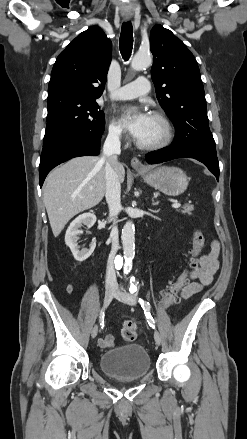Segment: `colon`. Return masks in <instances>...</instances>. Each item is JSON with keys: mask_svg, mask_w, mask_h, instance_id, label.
Masks as SVG:
<instances>
[{"mask_svg": "<svg viewBox=\"0 0 247 439\" xmlns=\"http://www.w3.org/2000/svg\"><path fill=\"white\" fill-rule=\"evenodd\" d=\"M205 238L200 230L193 232V248L190 250L189 268L185 270L177 280L170 282L161 295L159 308L166 309L178 301V295L188 283L189 275L197 266L198 257L204 247ZM122 338L125 341H134L138 336L137 325L134 322H127L124 324L121 331Z\"/></svg>", "mask_w": 247, "mask_h": 439, "instance_id": "obj_1", "label": "colon"}]
</instances>
